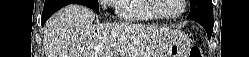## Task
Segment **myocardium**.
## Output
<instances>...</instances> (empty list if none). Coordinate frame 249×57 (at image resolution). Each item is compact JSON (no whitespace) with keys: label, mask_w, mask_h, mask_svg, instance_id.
<instances>
[{"label":"myocardium","mask_w":249,"mask_h":57,"mask_svg":"<svg viewBox=\"0 0 249 57\" xmlns=\"http://www.w3.org/2000/svg\"><path fill=\"white\" fill-rule=\"evenodd\" d=\"M181 3V9L179 12L175 14H162L158 11V0H149L148 5L152 13L155 15V17L162 19V20H172L179 18L182 16L186 9V0H180Z\"/></svg>","instance_id":"obj_1"}]
</instances>
